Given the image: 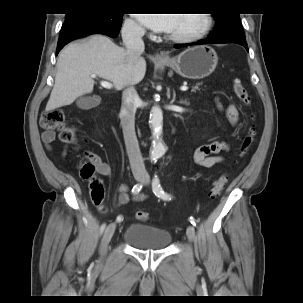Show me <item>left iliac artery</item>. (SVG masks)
Here are the masks:
<instances>
[{"label": "left iliac artery", "mask_w": 303, "mask_h": 303, "mask_svg": "<svg viewBox=\"0 0 303 303\" xmlns=\"http://www.w3.org/2000/svg\"><path fill=\"white\" fill-rule=\"evenodd\" d=\"M152 187H153V192L157 197H160L164 200H171V197L163 191V189L160 185L159 177L156 174L154 175V178L152 181ZM189 221L192 225L196 226V221L193 217H190Z\"/></svg>", "instance_id": "44dca946"}]
</instances>
